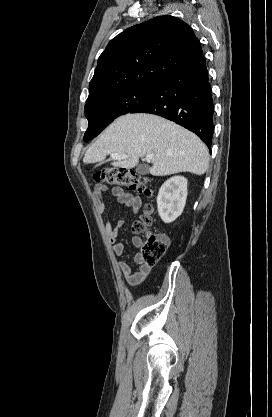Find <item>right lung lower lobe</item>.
Masks as SVG:
<instances>
[{
  "instance_id": "98d812e1",
  "label": "right lung lower lobe",
  "mask_w": 272,
  "mask_h": 417,
  "mask_svg": "<svg viewBox=\"0 0 272 417\" xmlns=\"http://www.w3.org/2000/svg\"><path fill=\"white\" fill-rule=\"evenodd\" d=\"M132 113H152L174 121L197 134L210 148L213 99L203 54L170 74Z\"/></svg>"
}]
</instances>
